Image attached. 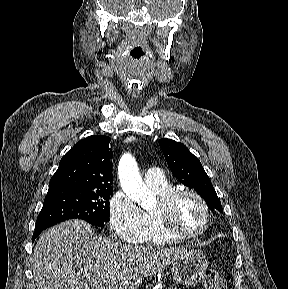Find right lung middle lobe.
<instances>
[{
    "label": "right lung middle lobe",
    "instance_id": "obj_1",
    "mask_svg": "<svg viewBox=\"0 0 288 289\" xmlns=\"http://www.w3.org/2000/svg\"><path fill=\"white\" fill-rule=\"evenodd\" d=\"M113 188L101 190L57 189L48 191L38 215L35 231L44 230L61 221L78 218L92 225L109 221V198Z\"/></svg>",
    "mask_w": 288,
    "mask_h": 289
}]
</instances>
